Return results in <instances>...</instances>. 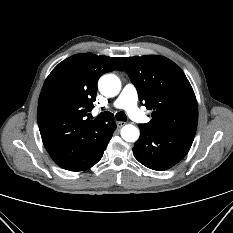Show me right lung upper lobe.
<instances>
[{"label":"right lung upper lobe","instance_id":"cb5924a9","mask_svg":"<svg viewBox=\"0 0 233 233\" xmlns=\"http://www.w3.org/2000/svg\"><path fill=\"white\" fill-rule=\"evenodd\" d=\"M124 68L118 57L73 55L47 77L39 96L37 121L43 144L60 167L80 170L97 153L106 124L85 118L92 109L99 77Z\"/></svg>","mask_w":233,"mask_h":233}]
</instances>
